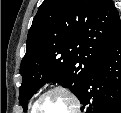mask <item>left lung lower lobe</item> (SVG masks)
I'll return each instance as SVG.
<instances>
[{"mask_svg":"<svg viewBox=\"0 0 121 113\" xmlns=\"http://www.w3.org/2000/svg\"><path fill=\"white\" fill-rule=\"evenodd\" d=\"M79 99L85 113H121V24Z\"/></svg>","mask_w":121,"mask_h":113,"instance_id":"0a47b994","label":"left lung lower lobe"}]
</instances>
